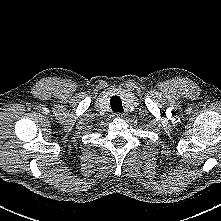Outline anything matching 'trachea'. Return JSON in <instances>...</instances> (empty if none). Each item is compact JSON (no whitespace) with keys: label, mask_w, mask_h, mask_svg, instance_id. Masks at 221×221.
<instances>
[{"label":"trachea","mask_w":221,"mask_h":221,"mask_svg":"<svg viewBox=\"0 0 221 221\" xmlns=\"http://www.w3.org/2000/svg\"><path fill=\"white\" fill-rule=\"evenodd\" d=\"M110 105H111V109L114 112H122L123 111L121 98L117 95H114L111 97Z\"/></svg>","instance_id":"obj_1"}]
</instances>
